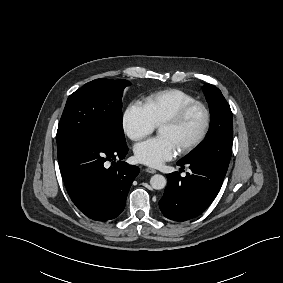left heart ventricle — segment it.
<instances>
[{
    "label": "left heart ventricle",
    "mask_w": 283,
    "mask_h": 283,
    "mask_svg": "<svg viewBox=\"0 0 283 283\" xmlns=\"http://www.w3.org/2000/svg\"><path fill=\"white\" fill-rule=\"evenodd\" d=\"M204 117L200 109H194L179 127L162 125L158 133L170 139L177 149L193 140L200 132Z\"/></svg>",
    "instance_id": "obj_1"
}]
</instances>
